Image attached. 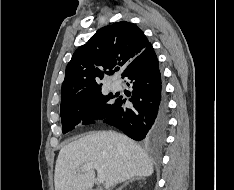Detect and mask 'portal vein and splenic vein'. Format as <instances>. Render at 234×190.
<instances>
[{
  "label": "portal vein and splenic vein",
  "mask_w": 234,
  "mask_h": 190,
  "mask_svg": "<svg viewBox=\"0 0 234 190\" xmlns=\"http://www.w3.org/2000/svg\"><path fill=\"white\" fill-rule=\"evenodd\" d=\"M91 169H96L97 170V180L99 183H104L105 177L104 173L101 170V167L98 163H88L82 167V171H89Z\"/></svg>",
  "instance_id": "portal-vein-and-splenic-vein-1"
}]
</instances>
